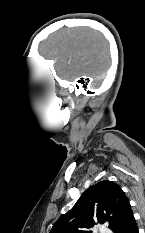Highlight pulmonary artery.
<instances>
[{
    "label": "pulmonary artery",
    "mask_w": 145,
    "mask_h": 233,
    "mask_svg": "<svg viewBox=\"0 0 145 233\" xmlns=\"http://www.w3.org/2000/svg\"><path fill=\"white\" fill-rule=\"evenodd\" d=\"M99 233H111V231L105 229L104 227L99 229Z\"/></svg>",
    "instance_id": "e3ab8cb5"
}]
</instances>
